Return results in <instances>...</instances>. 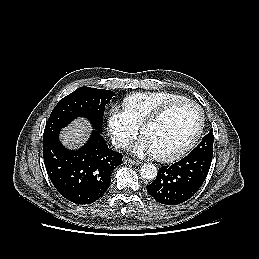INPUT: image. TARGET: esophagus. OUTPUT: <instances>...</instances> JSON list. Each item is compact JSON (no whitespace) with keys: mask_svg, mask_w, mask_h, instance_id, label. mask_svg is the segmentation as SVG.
Wrapping results in <instances>:
<instances>
[{"mask_svg":"<svg viewBox=\"0 0 259 259\" xmlns=\"http://www.w3.org/2000/svg\"><path fill=\"white\" fill-rule=\"evenodd\" d=\"M124 162L125 163H130L132 165H139L141 162L140 161H137V160H133V159H130V158H124Z\"/></svg>","mask_w":259,"mask_h":259,"instance_id":"obj_1","label":"esophagus"}]
</instances>
